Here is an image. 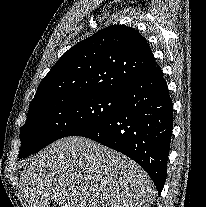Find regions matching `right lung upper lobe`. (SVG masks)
Returning a JSON list of instances; mask_svg holds the SVG:
<instances>
[{
	"mask_svg": "<svg viewBox=\"0 0 206 207\" xmlns=\"http://www.w3.org/2000/svg\"><path fill=\"white\" fill-rule=\"evenodd\" d=\"M156 67L146 39L137 30L109 26L59 59L39 84L29 107L61 96L123 94Z\"/></svg>",
	"mask_w": 206,
	"mask_h": 207,
	"instance_id": "1",
	"label": "right lung upper lobe"
}]
</instances>
